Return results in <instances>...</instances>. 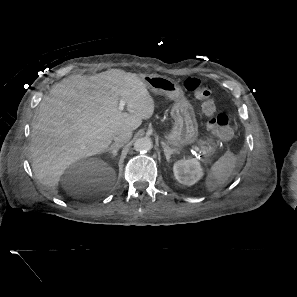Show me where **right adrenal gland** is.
Returning <instances> with one entry per match:
<instances>
[{"label": "right adrenal gland", "instance_id": "right-adrenal-gland-1", "mask_svg": "<svg viewBox=\"0 0 297 297\" xmlns=\"http://www.w3.org/2000/svg\"><path fill=\"white\" fill-rule=\"evenodd\" d=\"M119 148L120 146L112 144L109 148L105 150V152H110L112 154V158H114L117 155Z\"/></svg>", "mask_w": 297, "mask_h": 297}]
</instances>
